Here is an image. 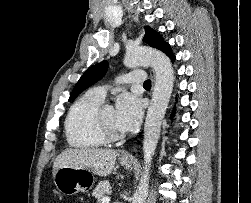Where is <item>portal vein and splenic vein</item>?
<instances>
[{
    "label": "portal vein and splenic vein",
    "instance_id": "obj_1",
    "mask_svg": "<svg viewBox=\"0 0 251 203\" xmlns=\"http://www.w3.org/2000/svg\"><path fill=\"white\" fill-rule=\"evenodd\" d=\"M110 202V198L109 197H103L102 198V203H109Z\"/></svg>",
    "mask_w": 251,
    "mask_h": 203
}]
</instances>
